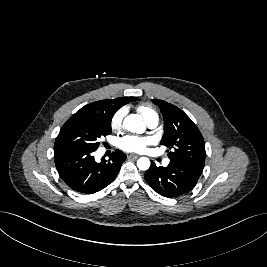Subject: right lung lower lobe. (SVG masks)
<instances>
[{"instance_id": "obj_1", "label": "right lung lower lobe", "mask_w": 267, "mask_h": 267, "mask_svg": "<svg viewBox=\"0 0 267 267\" xmlns=\"http://www.w3.org/2000/svg\"><path fill=\"white\" fill-rule=\"evenodd\" d=\"M92 150H54L56 169L74 191L92 194L108 186L117 176L126 155L115 150L108 161L95 162Z\"/></svg>"}]
</instances>
